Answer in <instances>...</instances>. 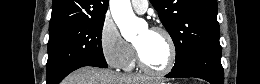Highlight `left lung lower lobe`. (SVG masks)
I'll return each instance as SVG.
<instances>
[{"mask_svg": "<svg viewBox=\"0 0 260 84\" xmlns=\"http://www.w3.org/2000/svg\"><path fill=\"white\" fill-rule=\"evenodd\" d=\"M221 46H212L193 54L181 67L172 69L168 78L197 77L211 84H224Z\"/></svg>", "mask_w": 260, "mask_h": 84, "instance_id": "1", "label": "left lung lower lobe"}]
</instances>
